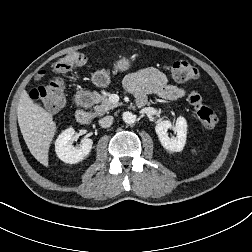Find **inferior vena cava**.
Returning <instances> with one entry per match:
<instances>
[{"label": "inferior vena cava", "instance_id": "inferior-vena-cava-1", "mask_svg": "<svg viewBox=\"0 0 252 252\" xmlns=\"http://www.w3.org/2000/svg\"><path fill=\"white\" fill-rule=\"evenodd\" d=\"M113 123V116H105L99 120V125L102 128H108Z\"/></svg>", "mask_w": 252, "mask_h": 252}]
</instances>
